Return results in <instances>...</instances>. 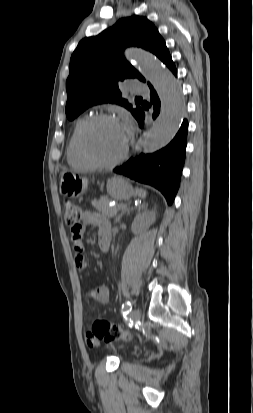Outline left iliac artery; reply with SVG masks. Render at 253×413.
<instances>
[{
    "label": "left iliac artery",
    "mask_w": 253,
    "mask_h": 413,
    "mask_svg": "<svg viewBox=\"0 0 253 413\" xmlns=\"http://www.w3.org/2000/svg\"><path fill=\"white\" fill-rule=\"evenodd\" d=\"M132 309V304L130 301L125 302L122 305V314L125 316L126 314H128Z\"/></svg>",
    "instance_id": "44dca946"
}]
</instances>
